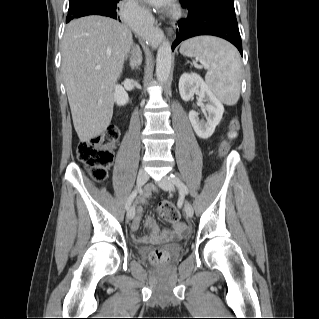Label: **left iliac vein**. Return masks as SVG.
Here are the masks:
<instances>
[{
	"instance_id": "left-iliac-vein-1",
	"label": "left iliac vein",
	"mask_w": 319,
	"mask_h": 319,
	"mask_svg": "<svg viewBox=\"0 0 319 319\" xmlns=\"http://www.w3.org/2000/svg\"><path fill=\"white\" fill-rule=\"evenodd\" d=\"M158 185L166 191H173L174 184L169 177H163L159 182ZM184 211L186 215L191 218L193 216L194 210L192 205L188 201H184Z\"/></svg>"
}]
</instances>
